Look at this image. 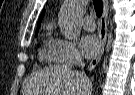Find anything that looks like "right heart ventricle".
I'll use <instances>...</instances> for the list:
<instances>
[{
    "instance_id": "1",
    "label": "right heart ventricle",
    "mask_w": 135,
    "mask_h": 95,
    "mask_svg": "<svg viewBox=\"0 0 135 95\" xmlns=\"http://www.w3.org/2000/svg\"><path fill=\"white\" fill-rule=\"evenodd\" d=\"M52 31H53V25L51 23L47 24L45 27L46 44L41 50V57L50 62L55 61L54 52H53L54 39H52L51 37Z\"/></svg>"
}]
</instances>
